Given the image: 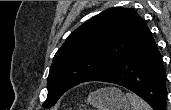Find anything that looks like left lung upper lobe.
Instances as JSON below:
<instances>
[{"mask_svg": "<svg viewBox=\"0 0 171 110\" xmlns=\"http://www.w3.org/2000/svg\"><path fill=\"white\" fill-rule=\"evenodd\" d=\"M149 32L132 8H110L83 23L53 58L43 107L50 108L70 88L116 66Z\"/></svg>", "mask_w": 171, "mask_h": 110, "instance_id": "1", "label": "left lung upper lobe"}]
</instances>
